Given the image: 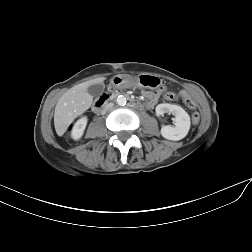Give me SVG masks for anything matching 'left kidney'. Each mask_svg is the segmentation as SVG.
Returning <instances> with one entry per match:
<instances>
[{
  "mask_svg": "<svg viewBox=\"0 0 252 252\" xmlns=\"http://www.w3.org/2000/svg\"><path fill=\"white\" fill-rule=\"evenodd\" d=\"M165 113H169L175 116L174 126L166 125L161 128V135L173 141L183 139L189 132L190 129V116L180 106L162 103L156 106V114L163 116Z\"/></svg>",
  "mask_w": 252,
  "mask_h": 252,
  "instance_id": "1",
  "label": "left kidney"
}]
</instances>
